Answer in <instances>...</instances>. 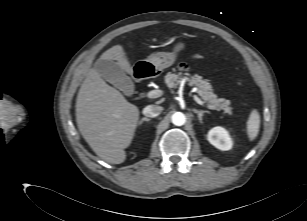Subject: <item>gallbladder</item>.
<instances>
[{
	"label": "gallbladder",
	"mask_w": 307,
	"mask_h": 221,
	"mask_svg": "<svg viewBox=\"0 0 307 221\" xmlns=\"http://www.w3.org/2000/svg\"><path fill=\"white\" fill-rule=\"evenodd\" d=\"M94 67L103 79L123 91L125 95L133 94L134 84L117 62L99 58Z\"/></svg>",
	"instance_id": "obj_1"
}]
</instances>
